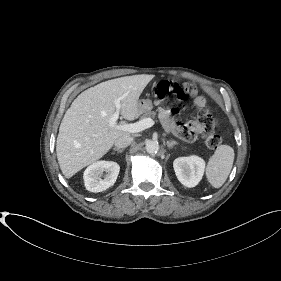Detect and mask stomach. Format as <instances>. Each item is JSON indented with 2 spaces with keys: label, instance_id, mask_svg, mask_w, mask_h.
Here are the masks:
<instances>
[{
  "label": "stomach",
  "instance_id": "0dacf381",
  "mask_svg": "<svg viewBox=\"0 0 281 281\" xmlns=\"http://www.w3.org/2000/svg\"><path fill=\"white\" fill-rule=\"evenodd\" d=\"M152 108L153 104L150 99H142L138 102L139 115L149 112Z\"/></svg>",
  "mask_w": 281,
  "mask_h": 281
}]
</instances>
